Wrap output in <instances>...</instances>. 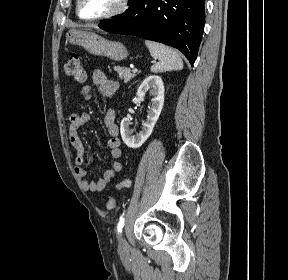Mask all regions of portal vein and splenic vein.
Listing matches in <instances>:
<instances>
[{"instance_id": "1", "label": "portal vein and splenic vein", "mask_w": 288, "mask_h": 280, "mask_svg": "<svg viewBox=\"0 0 288 280\" xmlns=\"http://www.w3.org/2000/svg\"><path fill=\"white\" fill-rule=\"evenodd\" d=\"M132 72H133V73H137V72H138V69H137V68H134V69L132 70Z\"/></svg>"}]
</instances>
